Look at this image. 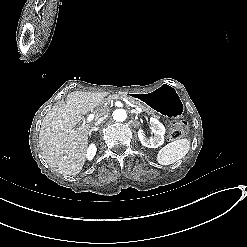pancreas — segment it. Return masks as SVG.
<instances>
[{
  "label": "pancreas",
  "mask_w": 247,
  "mask_h": 247,
  "mask_svg": "<svg viewBox=\"0 0 247 247\" xmlns=\"http://www.w3.org/2000/svg\"><path fill=\"white\" fill-rule=\"evenodd\" d=\"M125 98L128 101H130V103H133V107L134 106H138L143 109L146 113H151V115H154L155 117H158V113L155 112H151V108L148 105L142 104L141 102H138V100H135L129 96L124 95L123 93L120 94H116V95H109V98Z\"/></svg>",
  "instance_id": "cf45deb5"
}]
</instances>
